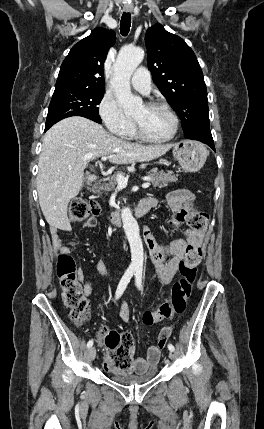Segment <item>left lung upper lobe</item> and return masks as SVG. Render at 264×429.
<instances>
[{
    "instance_id": "5c2ea615",
    "label": "left lung upper lobe",
    "mask_w": 264,
    "mask_h": 429,
    "mask_svg": "<svg viewBox=\"0 0 264 429\" xmlns=\"http://www.w3.org/2000/svg\"><path fill=\"white\" fill-rule=\"evenodd\" d=\"M145 44L153 81L181 118L185 138L209 131L206 85L192 49L159 23L147 30Z\"/></svg>"
}]
</instances>
